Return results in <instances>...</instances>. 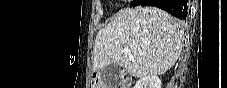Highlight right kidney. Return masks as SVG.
<instances>
[{
  "label": "right kidney",
  "mask_w": 227,
  "mask_h": 88,
  "mask_svg": "<svg viewBox=\"0 0 227 88\" xmlns=\"http://www.w3.org/2000/svg\"><path fill=\"white\" fill-rule=\"evenodd\" d=\"M161 80L157 75H149L139 79L134 88H161Z\"/></svg>",
  "instance_id": "obj_1"
}]
</instances>
